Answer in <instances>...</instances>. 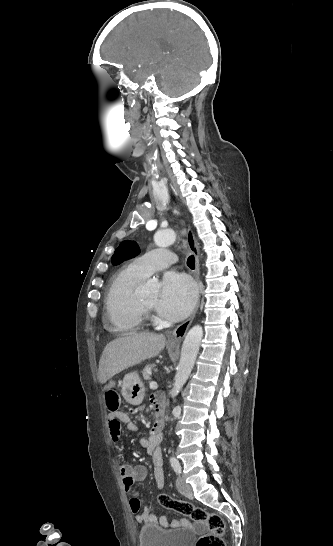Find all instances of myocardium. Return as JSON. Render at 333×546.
<instances>
[{
	"label": "myocardium",
	"instance_id": "1",
	"mask_svg": "<svg viewBox=\"0 0 333 546\" xmlns=\"http://www.w3.org/2000/svg\"><path fill=\"white\" fill-rule=\"evenodd\" d=\"M138 304L145 315L149 316L153 312V308L146 305L140 297L138 298Z\"/></svg>",
	"mask_w": 333,
	"mask_h": 546
}]
</instances>
